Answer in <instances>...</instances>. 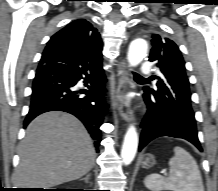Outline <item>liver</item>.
<instances>
[{
	"mask_svg": "<svg viewBox=\"0 0 218 191\" xmlns=\"http://www.w3.org/2000/svg\"><path fill=\"white\" fill-rule=\"evenodd\" d=\"M16 181L22 188L54 187L77 180L95 164V149L84 125L63 112L36 117L19 148Z\"/></svg>",
	"mask_w": 218,
	"mask_h": 191,
	"instance_id": "obj_1",
	"label": "liver"
}]
</instances>
